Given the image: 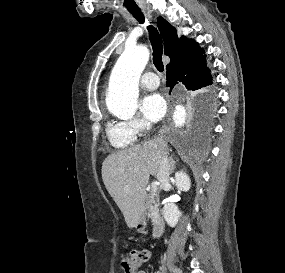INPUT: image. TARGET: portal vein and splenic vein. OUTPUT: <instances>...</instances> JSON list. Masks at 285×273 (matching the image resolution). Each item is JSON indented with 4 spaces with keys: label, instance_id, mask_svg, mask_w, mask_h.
<instances>
[{
    "label": "portal vein and splenic vein",
    "instance_id": "portal-vein-and-splenic-vein-1",
    "mask_svg": "<svg viewBox=\"0 0 285 273\" xmlns=\"http://www.w3.org/2000/svg\"><path fill=\"white\" fill-rule=\"evenodd\" d=\"M157 186H158V182H152L151 190L152 191H156L157 190Z\"/></svg>",
    "mask_w": 285,
    "mask_h": 273
}]
</instances>
